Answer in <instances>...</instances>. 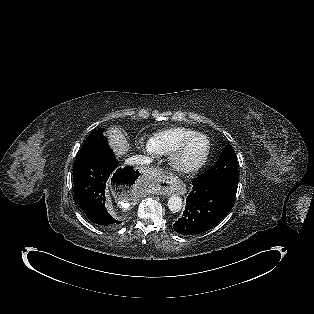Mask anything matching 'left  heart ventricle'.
<instances>
[{
	"label": "left heart ventricle",
	"mask_w": 314,
	"mask_h": 314,
	"mask_svg": "<svg viewBox=\"0 0 314 314\" xmlns=\"http://www.w3.org/2000/svg\"><path fill=\"white\" fill-rule=\"evenodd\" d=\"M205 150V142L203 139L195 140L189 147L188 158L196 159L202 155Z\"/></svg>",
	"instance_id": "left-heart-ventricle-1"
}]
</instances>
